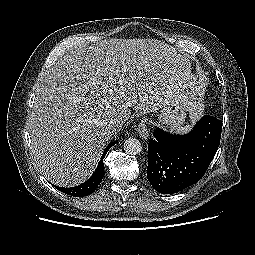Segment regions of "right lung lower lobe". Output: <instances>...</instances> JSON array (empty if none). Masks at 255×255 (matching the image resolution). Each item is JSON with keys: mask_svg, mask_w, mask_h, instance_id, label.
Masks as SVG:
<instances>
[{"mask_svg": "<svg viewBox=\"0 0 255 255\" xmlns=\"http://www.w3.org/2000/svg\"><path fill=\"white\" fill-rule=\"evenodd\" d=\"M114 144H115V141L111 142L106 147L95 172L92 174V176L86 182H84L81 185H78L76 187L63 188V187L56 186V188L68 195L75 196V197H83V196L90 195L98 187V185L101 183V181L105 175L103 159H104L107 151L109 150V148Z\"/></svg>", "mask_w": 255, "mask_h": 255, "instance_id": "obj_1", "label": "right lung lower lobe"}]
</instances>
